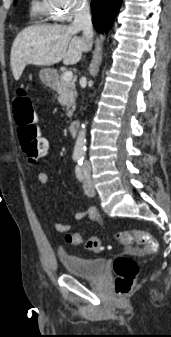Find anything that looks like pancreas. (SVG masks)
I'll return each instance as SVG.
<instances>
[{"label":"pancreas","instance_id":"pancreas-1","mask_svg":"<svg viewBox=\"0 0 171 337\" xmlns=\"http://www.w3.org/2000/svg\"><path fill=\"white\" fill-rule=\"evenodd\" d=\"M56 91L58 94V101L62 106L67 107V117L71 118L73 115V111L75 109V98H76V91H75V81H64L63 77L61 76L56 84Z\"/></svg>","mask_w":171,"mask_h":337}]
</instances>
